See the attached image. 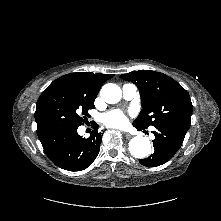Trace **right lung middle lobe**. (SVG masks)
<instances>
[{"label": "right lung middle lobe", "instance_id": "obj_1", "mask_svg": "<svg viewBox=\"0 0 221 221\" xmlns=\"http://www.w3.org/2000/svg\"><path fill=\"white\" fill-rule=\"evenodd\" d=\"M95 108L94 102L87 99L72 87L64 84H50L40 95L35 111L37 134L41 138L53 131L78 128L88 110Z\"/></svg>", "mask_w": 221, "mask_h": 221}]
</instances>
